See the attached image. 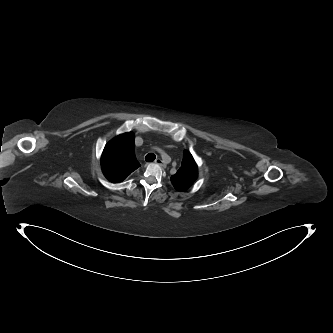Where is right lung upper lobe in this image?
<instances>
[{
	"label": "right lung upper lobe",
	"mask_w": 333,
	"mask_h": 333,
	"mask_svg": "<svg viewBox=\"0 0 333 333\" xmlns=\"http://www.w3.org/2000/svg\"><path fill=\"white\" fill-rule=\"evenodd\" d=\"M134 140L135 135L127 132L116 136L105 145L101 156V167L104 176L110 182H121L140 167L135 158Z\"/></svg>",
	"instance_id": "obj_1"
}]
</instances>
